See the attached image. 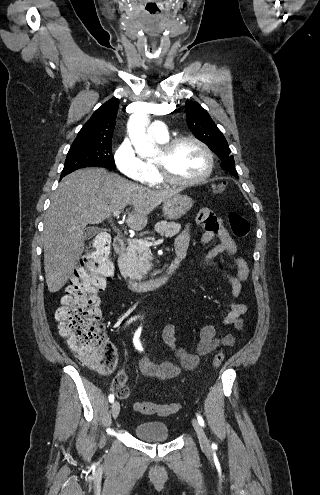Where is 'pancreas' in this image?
Listing matches in <instances>:
<instances>
[{
    "mask_svg": "<svg viewBox=\"0 0 320 495\" xmlns=\"http://www.w3.org/2000/svg\"><path fill=\"white\" fill-rule=\"evenodd\" d=\"M180 229L181 225L179 223L167 221H161L155 226V231L166 237H172L178 234ZM137 241L147 242L141 239H129L126 252L118 261L120 270L131 280H141L150 265L149 247H142Z\"/></svg>",
    "mask_w": 320,
    "mask_h": 495,
    "instance_id": "pancreas-1",
    "label": "pancreas"
}]
</instances>
